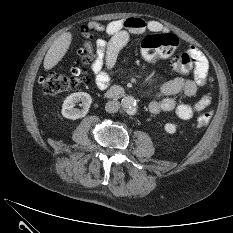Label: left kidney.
Listing matches in <instances>:
<instances>
[{
    "label": "left kidney",
    "instance_id": "obj_1",
    "mask_svg": "<svg viewBox=\"0 0 233 233\" xmlns=\"http://www.w3.org/2000/svg\"><path fill=\"white\" fill-rule=\"evenodd\" d=\"M164 129L169 134H174L176 132V125L172 123H166Z\"/></svg>",
    "mask_w": 233,
    "mask_h": 233
}]
</instances>
